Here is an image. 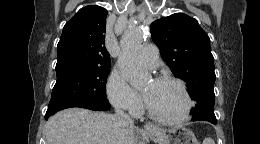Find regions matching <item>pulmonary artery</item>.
Here are the masks:
<instances>
[{
    "label": "pulmonary artery",
    "mask_w": 260,
    "mask_h": 144,
    "mask_svg": "<svg viewBox=\"0 0 260 144\" xmlns=\"http://www.w3.org/2000/svg\"><path fill=\"white\" fill-rule=\"evenodd\" d=\"M139 63L147 69H155L159 64V53L154 45H146L138 55Z\"/></svg>",
    "instance_id": "e3ab8cb5"
}]
</instances>
